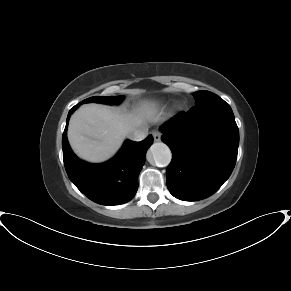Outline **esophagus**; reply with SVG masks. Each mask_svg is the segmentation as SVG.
Here are the masks:
<instances>
[{
    "label": "esophagus",
    "mask_w": 291,
    "mask_h": 291,
    "mask_svg": "<svg viewBox=\"0 0 291 291\" xmlns=\"http://www.w3.org/2000/svg\"><path fill=\"white\" fill-rule=\"evenodd\" d=\"M152 136L154 138V141H156V142L160 141V139H161V134L156 130H154L152 132Z\"/></svg>",
    "instance_id": "obj_1"
}]
</instances>
